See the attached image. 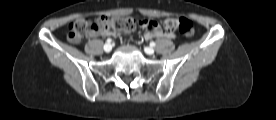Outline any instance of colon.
<instances>
[{
    "instance_id": "1",
    "label": "colon",
    "mask_w": 276,
    "mask_h": 120,
    "mask_svg": "<svg viewBox=\"0 0 276 120\" xmlns=\"http://www.w3.org/2000/svg\"><path fill=\"white\" fill-rule=\"evenodd\" d=\"M153 22L155 21H148L146 28L154 30ZM136 26V21L131 17L109 18L100 16L95 20L82 18L76 20L69 26L67 38L72 43H78L86 35H92L98 32L110 34H116L117 32L130 33L136 29ZM163 28L167 33L179 31L185 37H191L195 33L193 22L187 18H168L163 22Z\"/></svg>"
}]
</instances>
